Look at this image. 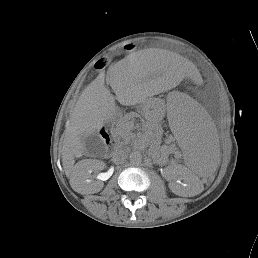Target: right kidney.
Returning a JSON list of instances; mask_svg holds the SVG:
<instances>
[{
  "mask_svg": "<svg viewBox=\"0 0 258 258\" xmlns=\"http://www.w3.org/2000/svg\"><path fill=\"white\" fill-rule=\"evenodd\" d=\"M83 166L85 167V171L87 173L92 170H100L101 168H103L102 163L95 161V160L87 161V162L83 163ZM83 166H82V168H83ZM106 179H107V177L103 180H106ZM102 187H103V184L101 183L99 185V187H95V188L91 189L90 193L98 192L102 189Z\"/></svg>",
  "mask_w": 258,
  "mask_h": 258,
  "instance_id": "obj_1",
  "label": "right kidney"
}]
</instances>
